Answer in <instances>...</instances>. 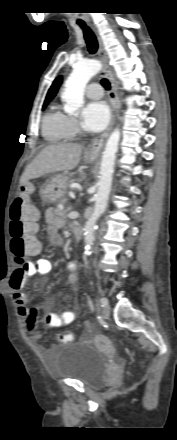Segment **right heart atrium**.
<instances>
[{"label": "right heart atrium", "mask_w": 177, "mask_h": 440, "mask_svg": "<svg viewBox=\"0 0 177 440\" xmlns=\"http://www.w3.org/2000/svg\"><path fill=\"white\" fill-rule=\"evenodd\" d=\"M66 128L70 137L75 136L80 131L78 121L73 116H66Z\"/></svg>", "instance_id": "1"}]
</instances>
